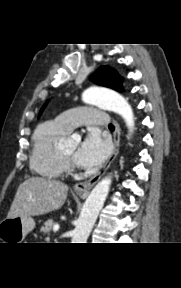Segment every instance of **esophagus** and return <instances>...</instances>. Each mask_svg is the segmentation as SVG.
Listing matches in <instances>:
<instances>
[{
	"label": "esophagus",
	"instance_id": "34e87169",
	"mask_svg": "<svg viewBox=\"0 0 181 288\" xmlns=\"http://www.w3.org/2000/svg\"><path fill=\"white\" fill-rule=\"evenodd\" d=\"M115 125V131L113 134V140H114V150L113 153L108 158L105 166L103 167L102 171L99 172L94 177L90 178L88 181L80 182L74 185V191L82 196L86 197L88 196L90 190L92 187L97 183V181L101 178V176L107 171V169L110 167L113 160L116 158L118 152H119V146H120V127L117 122H114Z\"/></svg>",
	"mask_w": 181,
	"mask_h": 288
}]
</instances>
